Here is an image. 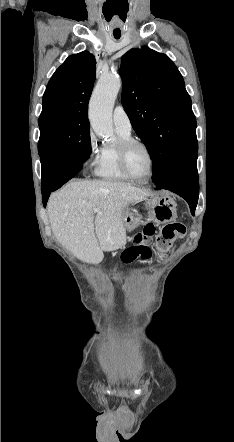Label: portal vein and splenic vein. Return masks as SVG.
I'll return each mask as SVG.
<instances>
[{
	"label": "portal vein and splenic vein",
	"instance_id": "obj_1",
	"mask_svg": "<svg viewBox=\"0 0 234 442\" xmlns=\"http://www.w3.org/2000/svg\"><path fill=\"white\" fill-rule=\"evenodd\" d=\"M99 211H100V210H99L98 208H94V209H93V212H94V213H98Z\"/></svg>",
	"mask_w": 234,
	"mask_h": 442
}]
</instances>
